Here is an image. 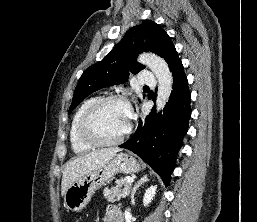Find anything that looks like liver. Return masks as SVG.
Listing matches in <instances>:
<instances>
[{
    "label": "liver",
    "instance_id": "1",
    "mask_svg": "<svg viewBox=\"0 0 257 222\" xmlns=\"http://www.w3.org/2000/svg\"><path fill=\"white\" fill-rule=\"evenodd\" d=\"M120 151L118 148H107L93 151L70 160L63 171L61 195L64 196L67 188L80 177L104 165Z\"/></svg>",
    "mask_w": 257,
    "mask_h": 222
}]
</instances>
